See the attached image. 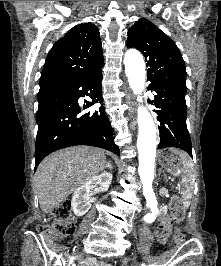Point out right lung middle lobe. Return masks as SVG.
Segmentation results:
<instances>
[{
	"instance_id": "1",
	"label": "right lung middle lobe",
	"mask_w": 221,
	"mask_h": 266,
	"mask_svg": "<svg viewBox=\"0 0 221 266\" xmlns=\"http://www.w3.org/2000/svg\"><path fill=\"white\" fill-rule=\"evenodd\" d=\"M62 87L59 86H42L40 87L39 93H38V101L42 100L46 96L52 94L53 92L61 89Z\"/></svg>"
}]
</instances>
